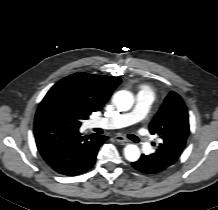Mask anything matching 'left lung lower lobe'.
Here are the masks:
<instances>
[{"label":"left lung lower lobe","mask_w":218,"mask_h":210,"mask_svg":"<svg viewBox=\"0 0 218 210\" xmlns=\"http://www.w3.org/2000/svg\"><path fill=\"white\" fill-rule=\"evenodd\" d=\"M177 161L172 156H166L156 151L150 155L142 154L140 159L132 163V166L143 173L155 174L159 173Z\"/></svg>","instance_id":"obj_1"}]
</instances>
